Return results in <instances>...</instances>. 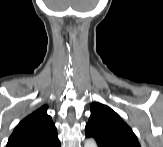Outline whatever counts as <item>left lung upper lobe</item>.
<instances>
[{
    "label": "left lung upper lobe",
    "mask_w": 163,
    "mask_h": 147,
    "mask_svg": "<svg viewBox=\"0 0 163 147\" xmlns=\"http://www.w3.org/2000/svg\"><path fill=\"white\" fill-rule=\"evenodd\" d=\"M87 137H93L99 147H140L136 135L121 117L101 103H93L85 127Z\"/></svg>",
    "instance_id": "obj_1"
}]
</instances>
